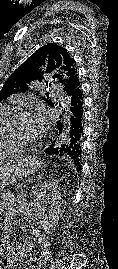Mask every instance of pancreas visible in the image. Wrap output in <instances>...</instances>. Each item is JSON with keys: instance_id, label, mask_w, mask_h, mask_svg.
<instances>
[{"instance_id": "1", "label": "pancreas", "mask_w": 118, "mask_h": 269, "mask_svg": "<svg viewBox=\"0 0 118 269\" xmlns=\"http://www.w3.org/2000/svg\"><path fill=\"white\" fill-rule=\"evenodd\" d=\"M35 177H25L24 180H19L17 183V187H12V192H21L22 190H27V185L29 182H35Z\"/></svg>"}]
</instances>
